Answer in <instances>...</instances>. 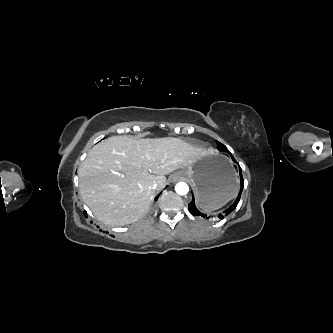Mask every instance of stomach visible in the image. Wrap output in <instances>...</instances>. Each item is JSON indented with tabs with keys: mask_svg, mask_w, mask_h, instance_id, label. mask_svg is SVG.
Listing matches in <instances>:
<instances>
[{
	"mask_svg": "<svg viewBox=\"0 0 333 333\" xmlns=\"http://www.w3.org/2000/svg\"><path fill=\"white\" fill-rule=\"evenodd\" d=\"M187 176L195 190L198 205L212 209L230 199L237 188L235 170L222 154L208 152L188 166Z\"/></svg>",
	"mask_w": 333,
	"mask_h": 333,
	"instance_id": "stomach-1",
	"label": "stomach"
}]
</instances>
